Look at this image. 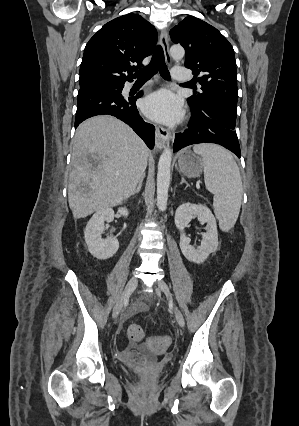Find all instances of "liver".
I'll return each mask as SVG.
<instances>
[{
    "label": "liver",
    "mask_w": 299,
    "mask_h": 426,
    "mask_svg": "<svg viewBox=\"0 0 299 426\" xmlns=\"http://www.w3.org/2000/svg\"><path fill=\"white\" fill-rule=\"evenodd\" d=\"M72 143L68 202L74 219L119 205L133 194L149 150L128 125L95 116L79 125Z\"/></svg>",
    "instance_id": "obj_1"
}]
</instances>
